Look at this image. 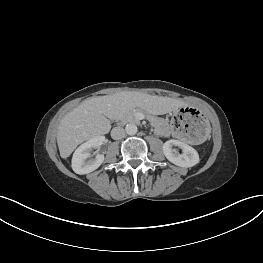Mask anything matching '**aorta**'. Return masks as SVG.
Segmentation results:
<instances>
[{
  "mask_svg": "<svg viewBox=\"0 0 263 263\" xmlns=\"http://www.w3.org/2000/svg\"><path fill=\"white\" fill-rule=\"evenodd\" d=\"M125 131L128 135H135L137 133V126L134 123H129L125 127Z\"/></svg>",
  "mask_w": 263,
  "mask_h": 263,
  "instance_id": "1",
  "label": "aorta"
}]
</instances>
